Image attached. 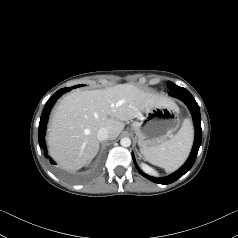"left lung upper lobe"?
I'll list each match as a JSON object with an SVG mask.
<instances>
[{
	"mask_svg": "<svg viewBox=\"0 0 238 238\" xmlns=\"http://www.w3.org/2000/svg\"><path fill=\"white\" fill-rule=\"evenodd\" d=\"M176 86H177V85L174 84L173 82H169V83H168L169 89H172V88H174V87H176Z\"/></svg>",
	"mask_w": 238,
	"mask_h": 238,
	"instance_id": "5c2ea615",
	"label": "left lung upper lobe"
}]
</instances>
